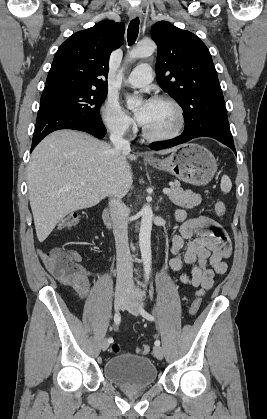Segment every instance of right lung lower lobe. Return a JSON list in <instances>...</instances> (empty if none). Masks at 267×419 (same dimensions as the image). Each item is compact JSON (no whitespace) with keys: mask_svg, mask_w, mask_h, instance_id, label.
I'll return each instance as SVG.
<instances>
[{"mask_svg":"<svg viewBox=\"0 0 267 419\" xmlns=\"http://www.w3.org/2000/svg\"><path fill=\"white\" fill-rule=\"evenodd\" d=\"M60 129L84 131L100 139L106 134L103 122L86 121L60 107L45 103L39 108L31 151L46 135Z\"/></svg>","mask_w":267,"mask_h":419,"instance_id":"98d812e1","label":"right lung lower lobe"}]
</instances>
